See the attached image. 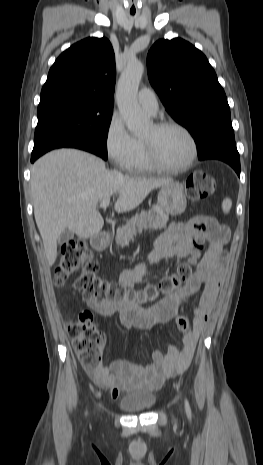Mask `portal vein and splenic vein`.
Listing matches in <instances>:
<instances>
[{
  "label": "portal vein and splenic vein",
  "mask_w": 263,
  "mask_h": 465,
  "mask_svg": "<svg viewBox=\"0 0 263 465\" xmlns=\"http://www.w3.org/2000/svg\"><path fill=\"white\" fill-rule=\"evenodd\" d=\"M110 204V198L104 199L100 202V208L106 209Z\"/></svg>",
  "instance_id": "obj_1"
}]
</instances>
